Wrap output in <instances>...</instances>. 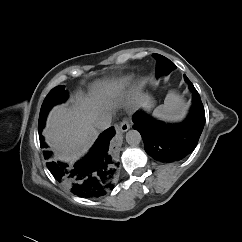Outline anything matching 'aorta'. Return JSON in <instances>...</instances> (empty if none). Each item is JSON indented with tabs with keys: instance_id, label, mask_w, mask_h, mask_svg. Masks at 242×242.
I'll return each mask as SVG.
<instances>
[{
	"instance_id": "obj_1",
	"label": "aorta",
	"mask_w": 242,
	"mask_h": 242,
	"mask_svg": "<svg viewBox=\"0 0 242 242\" xmlns=\"http://www.w3.org/2000/svg\"><path fill=\"white\" fill-rule=\"evenodd\" d=\"M142 140L141 134L137 130H129L126 133V142L130 146H137Z\"/></svg>"
}]
</instances>
